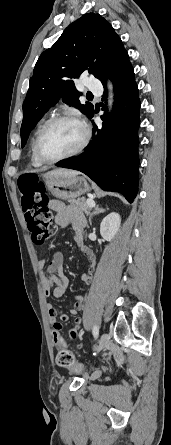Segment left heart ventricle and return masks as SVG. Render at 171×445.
Listing matches in <instances>:
<instances>
[{"label":"left heart ventricle","instance_id":"b2bd125f","mask_svg":"<svg viewBox=\"0 0 171 445\" xmlns=\"http://www.w3.org/2000/svg\"><path fill=\"white\" fill-rule=\"evenodd\" d=\"M82 131L71 121H61L52 124L41 140V152L49 159L63 156L73 151L81 142Z\"/></svg>","mask_w":171,"mask_h":445}]
</instances>
